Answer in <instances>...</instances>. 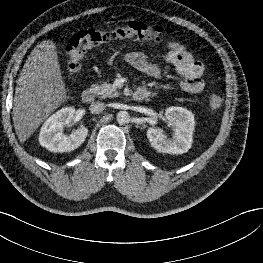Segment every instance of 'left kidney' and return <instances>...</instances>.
I'll list each match as a JSON object with an SVG mask.
<instances>
[{"label":"left kidney","mask_w":263,"mask_h":263,"mask_svg":"<svg viewBox=\"0 0 263 263\" xmlns=\"http://www.w3.org/2000/svg\"><path fill=\"white\" fill-rule=\"evenodd\" d=\"M165 117L175 127L173 139H168L161 128H149L147 137L151 146L162 153H186L193 142V113L182 107H170L166 109Z\"/></svg>","instance_id":"obj_1"}]
</instances>
